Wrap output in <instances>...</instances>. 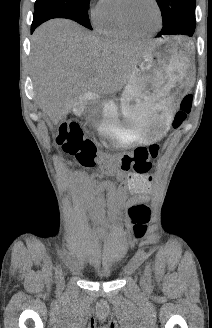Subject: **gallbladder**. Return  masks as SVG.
I'll use <instances>...</instances> for the list:
<instances>
[{
  "label": "gallbladder",
  "instance_id": "1",
  "mask_svg": "<svg viewBox=\"0 0 212 328\" xmlns=\"http://www.w3.org/2000/svg\"><path fill=\"white\" fill-rule=\"evenodd\" d=\"M66 118V115H64L63 117H62V120H64Z\"/></svg>",
  "mask_w": 212,
  "mask_h": 328
}]
</instances>
